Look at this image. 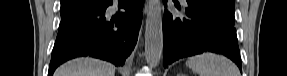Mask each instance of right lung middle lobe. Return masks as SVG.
<instances>
[{
  "label": "right lung middle lobe",
  "instance_id": "dd1d6c3e",
  "mask_svg": "<svg viewBox=\"0 0 287 76\" xmlns=\"http://www.w3.org/2000/svg\"><path fill=\"white\" fill-rule=\"evenodd\" d=\"M93 2L94 0H61V19L68 18L80 12Z\"/></svg>",
  "mask_w": 287,
  "mask_h": 76
}]
</instances>
